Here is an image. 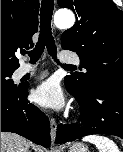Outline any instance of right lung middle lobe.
Masks as SVG:
<instances>
[{"mask_svg": "<svg viewBox=\"0 0 123 152\" xmlns=\"http://www.w3.org/2000/svg\"><path fill=\"white\" fill-rule=\"evenodd\" d=\"M15 69L1 68V88L10 89L17 87L10 78Z\"/></svg>", "mask_w": 123, "mask_h": 152, "instance_id": "1", "label": "right lung middle lobe"}]
</instances>
